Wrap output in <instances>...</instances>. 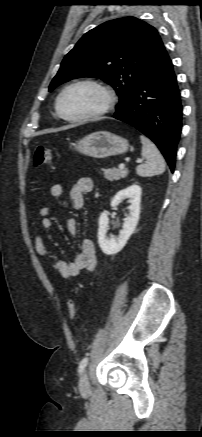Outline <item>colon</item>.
<instances>
[{
  "label": "colon",
  "mask_w": 202,
  "mask_h": 437,
  "mask_svg": "<svg viewBox=\"0 0 202 437\" xmlns=\"http://www.w3.org/2000/svg\"><path fill=\"white\" fill-rule=\"evenodd\" d=\"M53 158V150L51 148L38 146L33 155V164L36 167L42 166L50 162ZM68 315L71 320L75 319L77 314L76 302L73 299L68 301Z\"/></svg>",
  "instance_id": "5ec220e1"
}]
</instances>
